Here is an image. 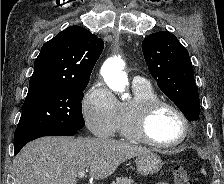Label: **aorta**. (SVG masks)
Instances as JSON below:
<instances>
[{"mask_svg": "<svg viewBox=\"0 0 224 184\" xmlns=\"http://www.w3.org/2000/svg\"><path fill=\"white\" fill-rule=\"evenodd\" d=\"M125 64L120 57H113L105 61L101 68V74L108 87L115 91L122 93V99L128 97L125 92L128 85V77L124 72Z\"/></svg>", "mask_w": 224, "mask_h": 184, "instance_id": "aorta-1", "label": "aorta"}]
</instances>
